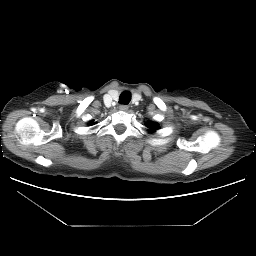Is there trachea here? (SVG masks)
<instances>
[{"mask_svg":"<svg viewBox=\"0 0 256 256\" xmlns=\"http://www.w3.org/2000/svg\"><path fill=\"white\" fill-rule=\"evenodd\" d=\"M130 101H131V93L129 91H124L119 96L120 104L126 105V104H129Z\"/></svg>","mask_w":256,"mask_h":256,"instance_id":"3493384b","label":"trachea"}]
</instances>
